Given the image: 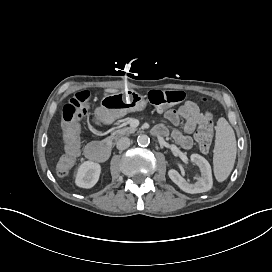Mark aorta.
Returning a JSON list of instances; mask_svg holds the SVG:
<instances>
[{
    "label": "aorta",
    "instance_id": "762f6f07",
    "mask_svg": "<svg viewBox=\"0 0 272 272\" xmlns=\"http://www.w3.org/2000/svg\"><path fill=\"white\" fill-rule=\"evenodd\" d=\"M137 142L139 145L146 146L149 144L150 139L146 134H141L137 137Z\"/></svg>",
    "mask_w": 272,
    "mask_h": 272
}]
</instances>
